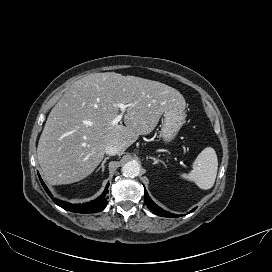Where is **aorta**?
I'll return each instance as SVG.
<instances>
[{
  "instance_id": "1",
  "label": "aorta",
  "mask_w": 272,
  "mask_h": 272,
  "mask_svg": "<svg viewBox=\"0 0 272 272\" xmlns=\"http://www.w3.org/2000/svg\"><path fill=\"white\" fill-rule=\"evenodd\" d=\"M121 171L125 177L134 178L139 175L140 165L136 161H129L123 165Z\"/></svg>"
}]
</instances>
